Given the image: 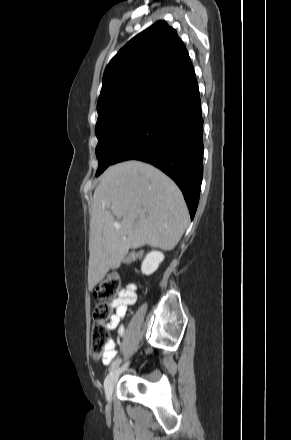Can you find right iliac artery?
Segmentation results:
<instances>
[{"instance_id": "82829eb1", "label": "right iliac artery", "mask_w": 291, "mask_h": 440, "mask_svg": "<svg viewBox=\"0 0 291 440\" xmlns=\"http://www.w3.org/2000/svg\"><path fill=\"white\" fill-rule=\"evenodd\" d=\"M120 363H121V359H120V358H117L115 361L112 362L111 367H110V370H113V369H115L116 367H118Z\"/></svg>"}]
</instances>
